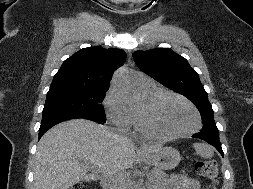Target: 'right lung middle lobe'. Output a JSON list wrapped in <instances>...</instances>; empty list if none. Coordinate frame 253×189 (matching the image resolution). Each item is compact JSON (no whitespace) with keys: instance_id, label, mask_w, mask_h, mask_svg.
<instances>
[{"instance_id":"dd1d6c3e","label":"right lung middle lobe","mask_w":253,"mask_h":189,"mask_svg":"<svg viewBox=\"0 0 253 189\" xmlns=\"http://www.w3.org/2000/svg\"><path fill=\"white\" fill-rule=\"evenodd\" d=\"M109 87L65 86L50 88L47 93L43 117L49 115H77L95 118L105 122L104 107L101 104Z\"/></svg>"}]
</instances>
